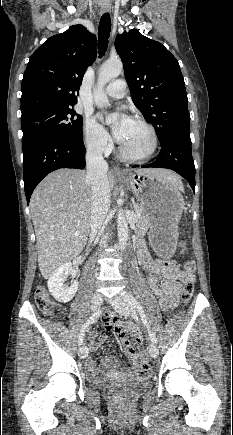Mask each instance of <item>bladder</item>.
Listing matches in <instances>:
<instances>
[{
    "label": "bladder",
    "instance_id": "1",
    "mask_svg": "<svg viewBox=\"0 0 233 435\" xmlns=\"http://www.w3.org/2000/svg\"><path fill=\"white\" fill-rule=\"evenodd\" d=\"M151 378L150 374H146L144 375L142 378L136 380L135 382L132 383H127V385L131 386V387H144L146 385V381H148ZM99 388H108L110 386L108 385H99Z\"/></svg>",
    "mask_w": 233,
    "mask_h": 435
}]
</instances>
